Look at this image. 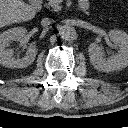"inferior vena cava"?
<instances>
[{"mask_svg":"<svg viewBox=\"0 0 128 128\" xmlns=\"http://www.w3.org/2000/svg\"><path fill=\"white\" fill-rule=\"evenodd\" d=\"M53 23V20L50 18H43L41 21V25L46 27Z\"/></svg>","mask_w":128,"mask_h":128,"instance_id":"inferior-vena-cava-1","label":"inferior vena cava"}]
</instances>
